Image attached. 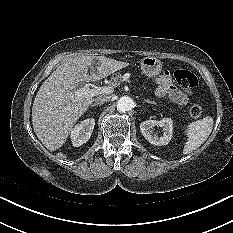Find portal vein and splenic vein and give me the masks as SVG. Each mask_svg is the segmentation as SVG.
Segmentation results:
<instances>
[{
    "label": "portal vein and splenic vein",
    "mask_w": 233,
    "mask_h": 233,
    "mask_svg": "<svg viewBox=\"0 0 233 233\" xmlns=\"http://www.w3.org/2000/svg\"><path fill=\"white\" fill-rule=\"evenodd\" d=\"M113 90H114L113 86H102V87L90 88L89 85H85L82 88H79L76 91V94L78 96L93 97V96L102 95V94H111Z\"/></svg>",
    "instance_id": "portal-vein-and-splenic-vein-1"
}]
</instances>
